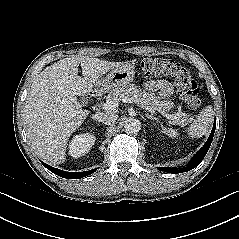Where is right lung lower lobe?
<instances>
[{
    "instance_id": "right-lung-lower-lobe-1",
    "label": "right lung lower lobe",
    "mask_w": 239,
    "mask_h": 239,
    "mask_svg": "<svg viewBox=\"0 0 239 239\" xmlns=\"http://www.w3.org/2000/svg\"><path fill=\"white\" fill-rule=\"evenodd\" d=\"M41 163L43 164V166H45L48 170H50L54 174L61 176L63 178H68V179H80L82 177L92 174L96 170V169H93V170L83 171V172H66L57 168H53L42 161Z\"/></svg>"
}]
</instances>
